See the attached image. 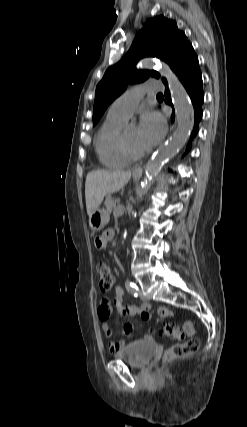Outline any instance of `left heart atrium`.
Returning a JSON list of instances; mask_svg holds the SVG:
<instances>
[{
	"instance_id": "1",
	"label": "left heart atrium",
	"mask_w": 247,
	"mask_h": 427,
	"mask_svg": "<svg viewBox=\"0 0 247 427\" xmlns=\"http://www.w3.org/2000/svg\"><path fill=\"white\" fill-rule=\"evenodd\" d=\"M167 125L165 119L155 111L146 112L138 127V136L141 145L148 149L164 137Z\"/></svg>"
}]
</instances>
